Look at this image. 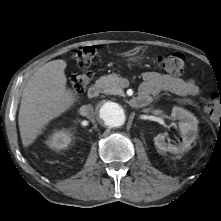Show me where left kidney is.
<instances>
[{"label": "left kidney", "mask_w": 221, "mask_h": 221, "mask_svg": "<svg viewBox=\"0 0 221 221\" xmlns=\"http://www.w3.org/2000/svg\"><path fill=\"white\" fill-rule=\"evenodd\" d=\"M171 116L179 120L178 126L183 139L182 143L179 145L168 144L165 142V136L158 134L154 138V144L161 151L179 154L190 149L191 143L197 138L198 120L192 113L177 106L173 107Z\"/></svg>", "instance_id": "5707ae66"}]
</instances>
